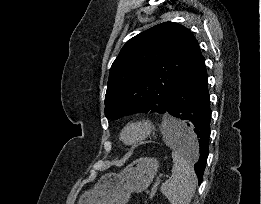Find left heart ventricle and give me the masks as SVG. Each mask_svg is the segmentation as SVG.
<instances>
[{"label": "left heart ventricle", "mask_w": 261, "mask_h": 204, "mask_svg": "<svg viewBox=\"0 0 261 204\" xmlns=\"http://www.w3.org/2000/svg\"><path fill=\"white\" fill-rule=\"evenodd\" d=\"M137 134H138V132L135 129H131V130L126 132L125 139L126 140H131L134 137H136Z\"/></svg>", "instance_id": "left-heart-ventricle-1"}]
</instances>
